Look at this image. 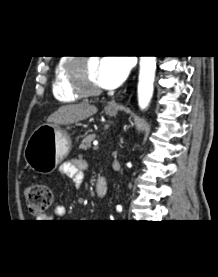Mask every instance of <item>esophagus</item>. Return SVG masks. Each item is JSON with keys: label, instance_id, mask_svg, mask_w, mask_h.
I'll return each instance as SVG.
<instances>
[{"label": "esophagus", "instance_id": "esophagus-1", "mask_svg": "<svg viewBox=\"0 0 218 277\" xmlns=\"http://www.w3.org/2000/svg\"><path fill=\"white\" fill-rule=\"evenodd\" d=\"M119 101H112L109 103V108H112V109H118L119 105H118Z\"/></svg>", "mask_w": 218, "mask_h": 277}]
</instances>
